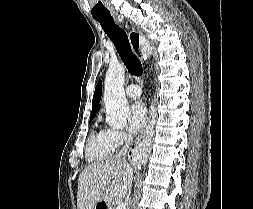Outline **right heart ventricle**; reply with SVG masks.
Here are the masks:
<instances>
[{
    "label": "right heart ventricle",
    "mask_w": 253,
    "mask_h": 209,
    "mask_svg": "<svg viewBox=\"0 0 253 209\" xmlns=\"http://www.w3.org/2000/svg\"><path fill=\"white\" fill-rule=\"evenodd\" d=\"M114 149L109 142L107 130L97 129L88 138L86 156L90 161L101 160L109 157Z\"/></svg>",
    "instance_id": "right-heart-ventricle-1"
}]
</instances>
